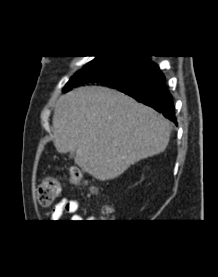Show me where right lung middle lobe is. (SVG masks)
Instances as JSON below:
<instances>
[{
    "label": "right lung middle lobe",
    "mask_w": 218,
    "mask_h": 277,
    "mask_svg": "<svg viewBox=\"0 0 218 277\" xmlns=\"http://www.w3.org/2000/svg\"><path fill=\"white\" fill-rule=\"evenodd\" d=\"M153 65L147 56H96L70 78L63 91L78 86V82L89 73L98 74L101 83L112 88L128 85L148 72Z\"/></svg>",
    "instance_id": "right-lung-middle-lobe-1"
}]
</instances>
